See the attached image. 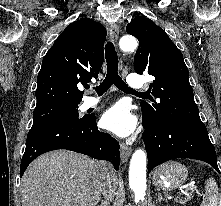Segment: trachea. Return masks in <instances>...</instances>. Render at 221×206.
Instances as JSON below:
<instances>
[{"mask_svg": "<svg viewBox=\"0 0 221 206\" xmlns=\"http://www.w3.org/2000/svg\"><path fill=\"white\" fill-rule=\"evenodd\" d=\"M105 58L107 63V74L103 82L94 88L99 96L103 95L112 84L122 91L136 92L127 86L118 74V57L112 42L105 45ZM86 88H89L87 86Z\"/></svg>", "mask_w": 221, "mask_h": 206, "instance_id": "3493384b", "label": "trachea"}]
</instances>
